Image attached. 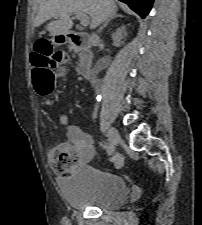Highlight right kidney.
Listing matches in <instances>:
<instances>
[{
  "instance_id": "ca27d5eb",
  "label": "right kidney",
  "mask_w": 202,
  "mask_h": 225,
  "mask_svg": "<svg viewBox=\"0 0 202 225\" xmlns=\"http://www.w3.org/2000/svg\"><path fill=\"white\" fill-rule=\"evenodd\" d=\"M127 36L125 26L118 28L112 35L113 43L115 46L119 47L123 44L122 39Z\"/></svg>"
}]
</instances>
